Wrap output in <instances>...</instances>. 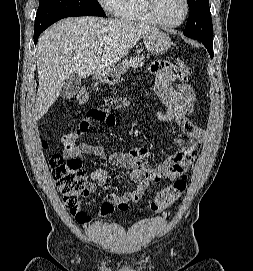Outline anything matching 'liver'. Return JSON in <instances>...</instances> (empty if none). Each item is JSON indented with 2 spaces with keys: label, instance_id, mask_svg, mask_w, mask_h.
Here are the masks:
<instances>
[{
  "label": "liver",
  "instance_id": "obj_1",
  "mask_svg": "<svg viewBox=\"0 0 253 271\" xmlns=\"http://www.w3.org/2000/svg\"><path fill=\"white\" fill-rule=\"evenodd\" d=\"M155 27L129 20L70 17L42 33L37 43L39 86L35 119L47 113L70 76L101 73L125 57ZM102 48L103 52L98 53Z\"/></svg>",
  "mask_w": 253,
  "mask_h": 271
}]
</instances>
